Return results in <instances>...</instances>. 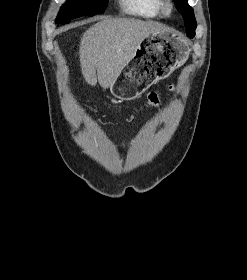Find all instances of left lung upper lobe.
Returning a JSON list of instances; mask_svg holds the SVG:
<instances>
[{
  "mask_svg": "<svg viewBox=\"0 0 247 280\" xmlns=\"http://www.w3.org/2000/svg\"><path fill=\"white\" fill-rule=\"evenodd\" d=\"M178 11L181 12L182 17L185 21L186 32L188 36L194 37L195 28L197 27V23L195 20L194 12L191 6L188 4V0H175Z\"/></svg>",
  "mask_w": 247,
  "mask_h": 280,
  "instance_id": "obj_1",
  "label": "left lung upper lobe"
}]
</instances>
